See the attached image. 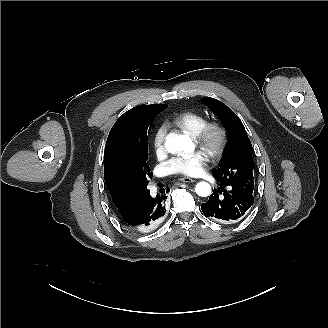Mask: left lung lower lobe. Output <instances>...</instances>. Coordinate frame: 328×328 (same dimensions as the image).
Instances as JSON below:
<instances>
[{
    "label": "left lung lower lobe",
    "instance_id": "0a47b994",
    "mask_svg": "<svg viewBox=\"0 0 328 328\" xmlns=\"http://www.w3.org/2000/svg\"><path fill=\"white\" fill-rule=\"evenodd\" d=\"M226 186L230 188L229 191L224 189ZM221 187L223 188H214L209 200L202 203L203 213L223 223L241 218L254 202L252 193L234 185L221 183Z\"/></svg>",
    "mask_w": 328,
    "mask_h": 328
}]
</instances>
